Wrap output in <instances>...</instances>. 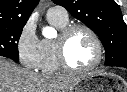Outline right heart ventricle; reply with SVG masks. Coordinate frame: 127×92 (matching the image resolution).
<instances>
[{
    "label": "right heart ventricle",
    "instance_id": "e07e8e85",
    "mask_svg": "<svg viewBox=\"0 0 127 92\" xmlns=\"http://www.w3.org/2000/svg\"><path fill=\"white\" fill-rule=\"evenodd\" d=\"M47 16L50 24L59 30H62L68 25V19H62L51 15ZM41 51V62L38 70L45 74H56L60 72L62 69L57 60L55 41L49 38L42 39Z\"/></svg>",
    "mask_w": 127,
    "mask_h": 92
}]
</instances>
